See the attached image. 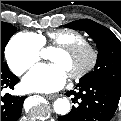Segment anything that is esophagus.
Masks as SVG:
<instances>
[{"instance_id": "34e87169", "label": "esophagus", "mask_w": 121, "mask_h": 121, "mask_svg": "<svg viewBox=\"0 0 121 121\" xmlns=\"http://www.w3.org/2000/svg\"><path fill=\"white\" fill-rule=\"evenodd\" d=\"M45 97L49 100H52V99H55L58 97V94H48V95H45Z\"/></svg>"}]
</instances>
